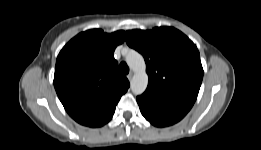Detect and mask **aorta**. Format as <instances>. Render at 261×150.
I'll list each match as a JSON object with an SVG mask.
<instances>
[{"label":"aorta","mask_w":261,"mask_h":150,"mask_svg":"<svg viewBox=\"0 0 261 150\" xmlns=\"http://www.w3.org/2000/svg\"><path fill=\"white\" fill-rule=\"evenodd\" d=\"M126 63L134 72L130 84L131 90L135 95H140L146 90L148 85L145 60L140 53L131 50L126 56Z\"/></svg>","instance_id":"aorta-1"}]
</instances>
